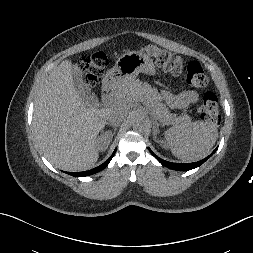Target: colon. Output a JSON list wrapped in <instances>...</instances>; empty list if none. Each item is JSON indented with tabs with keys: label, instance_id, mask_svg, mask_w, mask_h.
Here are the masks:
<instances>
[{
	"label": "colon",
	"instance_id": "5ec220e1",
	"mask_svg": "<svg viewBox=\"0 0 253 253\" xmlns=\"http://www.w3.org/2000/svg\"><path fill=\"white\" fill-rule=\"evenodd\" d=\"M142 50L152 57L164 70L181 76L182 82L191 87L201 88L207 85L208 77L201 65L196 61L187 64L176 54L154 45H145ZM107 65V57L102 52L85 57L81 63V72L87 86H95ZM200 119L207 124L218 126L221 116L218 109V98L213 92H206L198 108Z\"/></svg>",
	"mask_w": 253,
	"mask_h": 253
}]
</instances>
